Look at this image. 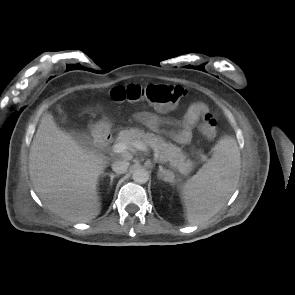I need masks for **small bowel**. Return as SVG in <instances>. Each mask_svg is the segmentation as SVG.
Instances as JSON below:
<instances>
[{"mask_svg": "<svg viewBox=\"0 0 295 295\" xmlns=\"http://www.w3.org/2000/svg\"><path fill=\"white\" fill-rule=\"evenodd\" d=\"M210 112L208 106L202 102L193 103L186 111L180 128L171 133L172 138L180 143L187 144L191 141L193 129L203 117L204 114ZM135 119L151 130L157 131L160 128L161 117L154 112L140 111L134 115Z\"/></svg>", "mask_w": 295, "mask_h": 295, "instance_id": "1", "label": "small bowel"}]
</instances>
